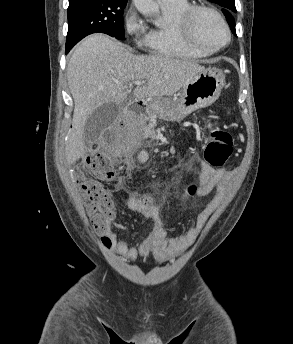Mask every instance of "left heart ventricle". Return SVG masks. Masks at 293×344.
<instances>
[{"instance_id":"left-heart-ventricle-1","label":"left heart ventricle","mask_w":293,"mask_h":344,"mask_svg":"<svg viewBox=\"0 0 293 344\" xmlns=\"http://www.w3.org/2000/svg\"><path fill=\"white\" fill-rule=\"evenodd\" d=\"M193 34L206 48H216L226 41V32L219 20L208 12H200L193 22Z\"/></svg>"}]
</instances>
